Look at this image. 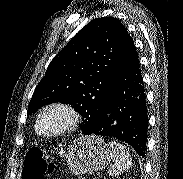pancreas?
<instances>
[{"instance_id": "obj_1", "label": "pancreas", "mask_w": 183, "mask_h": 179, "mask_svg": "<svg viewBox=\"0 0 183 179\" xmlns=\"http://www.w3.org/2000/svg\"><path fill=\"white\" fill-rule=\"evenodd\" d=\"M78 179H85L84 177H79Z\"/></svg>"}]
</instances>
